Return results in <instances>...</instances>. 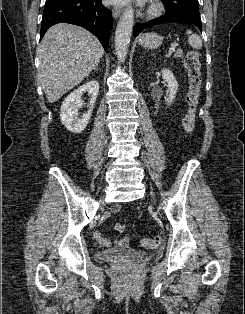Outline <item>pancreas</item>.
Segmentation results:
<instances>
[{
    "mask_svg": "<svg viewBox=\"0 0 245 314\" xmlns=\"http://www.w3.org/2000/svg\"><path fill=\"white\" fill-rule=\"evenodd\" d=\"M178 57H183V52L182 50H177L175 55H174V58H178Z\"/></svg>",
    "mask_w": 245,
    "mask_h": 314,
    "instance_id": "obj_1",
    "label": "pancreas"
}]
</instances>
